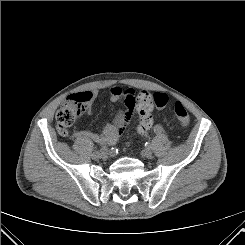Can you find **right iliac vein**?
<instances>
[{
	"label": "right iliac vein",
	"mask_w": 245,
	"mask_h": 245,
	"mask_svg": "<svg viewBox=\"0 0 245 245\" xmlns=\"http://www.w3.org/2000/svg\"><path fill=\"white\" fill-rule=\"evenodd\" d=\"M92 157H93V159H99V158H103V157H105V156H103L102 154H100L99 151H96V152H94V153L92 154Z\"/></svg>",
	"instance_id": "obj_1"
}]
</instances>
